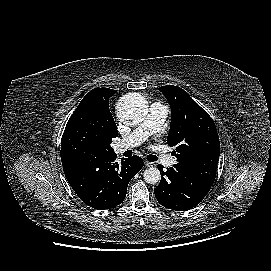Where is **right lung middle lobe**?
<instances>
[{"instance_id": "right-lung-middle-lobe-1", "label": "right lung middle lobe", "mask_w": 271, "mask_h": 271, "mask_svg": "<svg viewBox=\"0 0 271 271\" xmlns=\"http://www.w3.org/2000/svg\"><path fill=\"white\" fill-rule=\"evenodd\" d=\"M115 93V90L103 92L88 107H77L65 127L61 152L114 153L110 144L118 132L109 110V98Z\"/></svg>"}]
</instances>
